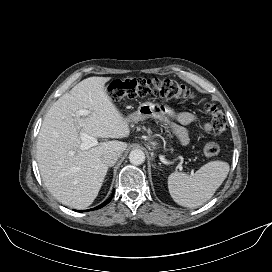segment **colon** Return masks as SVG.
Returning <instances> with one entry per match:
<instances>
[{"label": "colon", "mask_w": 272, "mask_h": 272, "mask_svg": "<svg viewBox=\"0 0 272 272\" xmlns=\"http://www.w3.org/2000/svg\"><path fill=\"white\" fill-rule=\"evenodd\" d=\"M108 93L114 100L134 99L148 95H158L169 99H188L193 97L191 90L171 79L129 78L114 80L108 85ZM205 110L212 120L216 133H222L227 128V119L223 111L213 104H206ZM204 153L212 158L220 153V146L216 142L207 143Z\"/></svg>", "instance_id": "5ec220e1"}]
</instances>
